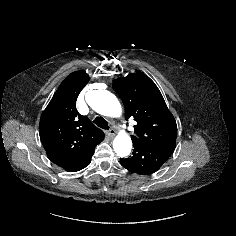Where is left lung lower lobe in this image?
<instances>
[{"label":"left lung lower lobe","instance_id":"0a47b994","mask_svg":"<svg viewBox=\"0 0 236 236\" xmlns=\"http://www.w3.org/2000/svg\"><path fill=\"white\" fill-rule=\"evenodd\" d=\"M129 158H120L121 165L127 170L139 174L149 175L160 169L175 150V145L137 144Z\"/></svg>","mask_w":236,"mask_h":236}]
</instances>
